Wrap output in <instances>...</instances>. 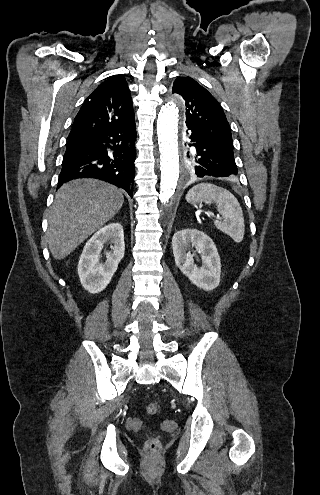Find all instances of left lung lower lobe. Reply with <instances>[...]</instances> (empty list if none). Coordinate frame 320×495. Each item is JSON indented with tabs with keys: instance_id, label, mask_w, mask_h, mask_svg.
<instances>
[{
	"instance_id": "obj_1",
	"label": "left lung lower lobe",
	"mask_w": 320,
	"mask_h": 495,
	"mask_svg": "<svg viewBox=\"0 0 320 495\" xmlns=\"http://www.w3.org/2000/svg\"><path fill=\"white\" fill-rule=\"evenodd\" d=\"M186 126L190 146H193L199 157L195 171L197 177H227L238 173L233 152L207 139L193 127Z\"/></svg>"
}]
</instances>
